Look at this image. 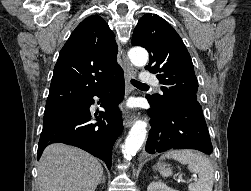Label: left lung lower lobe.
Listing matches in <instances>:
<instances>
[{
  "mask_svg": "<svg viewBox=\"0 0 251 191\" xmlns=\"http://www.w3.org/2000/svg\"><path fill=\"white\" fill-rule=\"evenodd\" d=\"M152 127L146 143L149 154L170 149L213 151L208 128L198 101H182L160 108L148 99Z\"/></svg>",
  "mask_w": 251,
  "mask_h": 191,
  "instance_id": "1",
  "label": "left lung lower lobe"
}]
</instances>
